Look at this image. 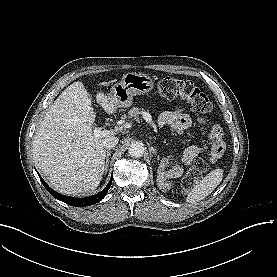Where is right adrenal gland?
Returning <instances> with one entry per match:
<instances>
[{
  "mask_svg": "<svg viewBox=\"0 0 277 277\" xmlns=\"http://www.w3.org/2000/svg\"><path fill=\"white\" fill-rule=\"evenodd\" d=\"M111 155V151L106 152V160H105V170L107 171L109 165V156Z\"/></svg>",
  "mask_w": 277,
  "mask_h": 277,
  "instance_id": "1",
  "label": "right adrenal gland"
}]
</instances>
